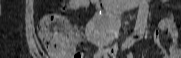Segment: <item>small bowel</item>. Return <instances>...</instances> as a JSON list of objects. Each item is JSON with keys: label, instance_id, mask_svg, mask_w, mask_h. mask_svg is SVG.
Masks as SVG:
<instances>
[{"label": "small bowel", "instance_id": "c3829d8e", "mask_svg": "<svg viewBox=\"0 0 181 58\" xmlns=\"http://www.w3.org/2000/svg\"><path fill=\"white\" fill-rule=\"evenodd\" d=\"M103 2L99 0H70L68 3V7L71 10H77L80 8H87L89 6L94 7L95 9H100ZM160 29L166 32L171 40V44L169 47V58H181V47L178 44V33L176 30V26L172 17L167 18L166 20L160 23ZM78 38L80 37L77 34ZM151 38L159 42V33L153 32ZM116 44H113L110 47L101 46L96 53L95 58H108V55H113L116 51ZM163 52L166 53L165 49Z\"/></svg>", "mask_w": 181, "mask_h": 58}]
</instances>
